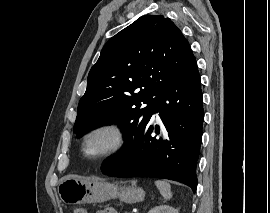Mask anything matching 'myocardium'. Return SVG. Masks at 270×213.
Wrapping results in <instances>:
<instances>
[{"label": "myocardium", "mask_w": 270, "mask_h": 213, "mask_svg": "<svg viewBox=\"0 0 270 213\" xmlns=\"http://www.w3.org/2000/svg\"><path fill=\"white\" fill-rule=\"evenodd\" d=\"M99 135L107 136V145L98 153H90L87 150L88 142ZM125 132L115 122H101L90 127L82 136L80 142L81 153L91 160H102L118 152L125 143Z\"/></svg>", "instance_id": "myocardium-1"}]
</instances>
